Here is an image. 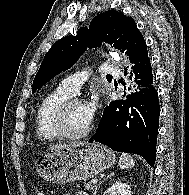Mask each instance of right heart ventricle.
<instances>
[{"label":"right heart ventricle","mask_w":189,"mask_h":195,"mask_svg":"<svg viewBox=\"0 0 189 195\" xmlns=\"http://www.w3.org/2000/svg\"><path fill=\"white\" fill-rule=\"evenodd\" d=\"M70 97L72 94L58 86L42 100L35 115V132L38 138L46 142L59 138L52 126L53 113L64 100Z\"/></svg>","instance_id":"1"}]
</instances>
